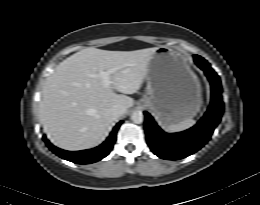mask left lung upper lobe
Wrapping results in <instances>:
<instances>
[{
  "label": "left lung upper lobe",
  "mask_w": 260,
  "mask_h": 205,
  "mask_svg": "<svg viewBox=\"0 0 260 205\" xmlns=\"http://www.w3.org/2000/svg\"><path fill=\"white\" fill-rule=\"evenodd\" d=\"M196 57V59L197 60H199V61H201V62H203V63H205V64H209L206 60H204L202 57H200V56H195Z\"/></svg>",
  "instance_id": "5c2ea615"
}]
</instances>
